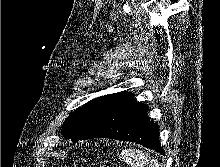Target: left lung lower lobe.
<instances>
[{
    "label": "left lung lower lobe",
    "instance_id": "1",
    "mask_svg": "<svg viewBox=\"0 0 220 167\" xmlns=\"http://www.w3.org/2000/svg\"><path fill=\"white\" fill-rule=\"evenodd\" d=\"M133 96L132 93L121 92L79 140L113 138L131 141L164 155L159 127L147 116L148 106L137 102Z\"/></svg>",
    "mask_w": 220,
    "mask_h": 167
}]
</instances>
